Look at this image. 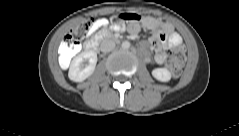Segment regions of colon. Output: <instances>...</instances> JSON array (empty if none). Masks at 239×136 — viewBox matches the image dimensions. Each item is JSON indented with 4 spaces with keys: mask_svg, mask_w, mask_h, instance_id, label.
I'll list each match as a JSON object with an SVG mask.
<instances>
[{
    "mask_svg": "<svg viewBox=\"0 0 239 136\" xmlns=\"http://www.w3.org/2000/svg\"><path fill=\"white\" fill-rule=\"evenodd\" d=\"M95 24L96 20L85 19L71 31L70 35L61 44L63 61L68 60L78 51L79 42L95 29ZM185 58L186 51L182 46H178L169 52L167 66L173 76L178 77L182 73Z\"/></svg>",
    "mask_w": 239,
    "mask_h": 136,
    "instance_id": "colon-1",
    "label": "colon"
}]
</instances>
